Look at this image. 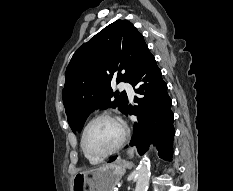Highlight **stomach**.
<instances>
[{
    "mask_svg": "<svg viewBox=\"0 0 233 191\" xmlns=\"http://www.w3.org/2000/svg\"><path fill=\"white\" fill-rule=\"evenodd\" d=\"M124 172V166L115 163L80 171L73 177L71 191H113Z\"/></svg>",
    "mask_w": 233,
    "mask_h": 191,
    "instance_id": "stomach-1",
    "label": "stomach"
}]
</instances>
